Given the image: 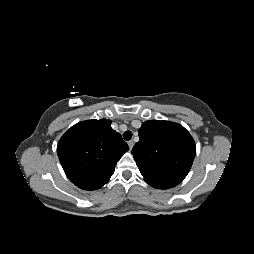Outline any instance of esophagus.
<instances>
[{"label": "esophagus", "mask_w": 254, "mask_h": 254, "mask_svg": "<svg viewBox=\"0 0 254 254\" xmlns=\"http://www.w3.org/2000/svg\"><path fill=\"white\" fill-rule=\"evenodd\" d=\"M128 146H129L130 150L133 148V146H134L133 140L128 141Z\"/></svg>", "instance_id": "1"}]
</instances>
